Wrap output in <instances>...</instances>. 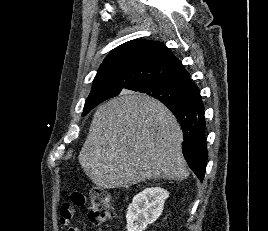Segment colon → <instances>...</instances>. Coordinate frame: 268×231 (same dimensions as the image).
Masks as SVG:
<instances>
[{"label": "colon", "instance_id": "1", "mask_svg": "<svg viewBox=\"0 0 268 231\" xmlns=\"http://www.w3.org/2000/svg\"><path fill=\"white\" fill-rule=\"evenodd\" d=\"M91 207L89 218L96 225L106 224L112 217L113 208L110 194L103 188L92 186L89 191ZM82 198L80 197V200Z\"/></svg>", "mask_w": 268, "mask_h": 231}]
</instances>
